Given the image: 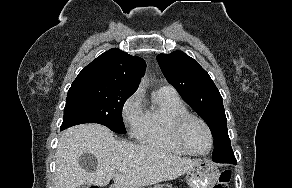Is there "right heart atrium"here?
Masks as SVG:
<instances>
[{
  "mask_svg": "<svg viewBox=\"0 0 292 188\" xmlns=\"http://www.w3.org/2000/svg\"><path fill=\"white\" fill-rule=\"evenodd\" d=\"M140 99L138 91L133 93L125 100L121 110L122 119L132 134H135L142 118Z\"/></svg>",
  "mask_w": 292,
  "mask_h": 188,
  "instance_id": "obj_1",
  "label": "right heart atrium"
}]
</instances>
